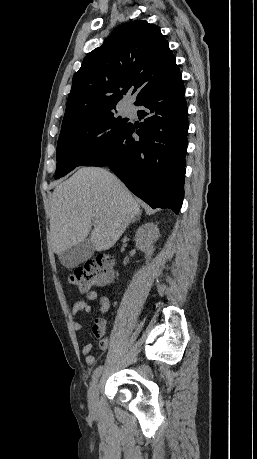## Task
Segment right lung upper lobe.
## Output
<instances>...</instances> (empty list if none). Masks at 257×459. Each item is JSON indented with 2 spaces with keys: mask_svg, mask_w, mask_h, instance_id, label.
<instances>
[{
  "mask_svg": "<svg viewBox=\"0 0 257 459\" xmlns=\"http://www.w3.org/2000/svg\"><path fill=\"white\" fill-rule=\"evenodd\" d=\"M180 73L160 29L135 20L117 27L73 76L61 131L115 108L130 88L135 104Z\"/></svg>",
  "mask_w": 257,
  "mask_h": 459,
  "instance_id": "cb5924a9",
  "label": "right lung upper lobe"
}]
</instances>
